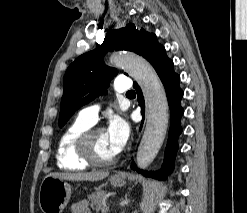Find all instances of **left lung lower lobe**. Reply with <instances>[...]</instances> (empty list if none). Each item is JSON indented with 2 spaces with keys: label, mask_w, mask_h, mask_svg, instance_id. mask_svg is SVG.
Wrapping results in <instances>:
<instances>
[{
  "label": "left lung lower lobe",
  "mask_w": 247,
  "mask_h": 213,
  "mask_svg": "<svg viewBox=\"0 0 247 213\" xmlns=\"http://www.w3.org/2000/svg\"><path fill=\"white\" fill-rule=\"evenodd\" d=\"M157 74L159 75L168 98V104L170 107L171 122L169 129L168 142L165 150V157L163 167L159 172H146L136 167L132 162L131 168L141 172L145 176H151L158 179H166V176L174 168V160L176 152L178 150V136L182 132L180 126V119L183 115V109L180 105V100L183 96V92L179 87L180 76L173 71V62L169 58L162 60L154 66ZM137 90L138 101L141 106V113L144 115V99L139 86L135 85ZM142 127V125H141ZM141 129V128H140Z\"/></svg>",
  "instance_id": "1"
}]
</instances>
